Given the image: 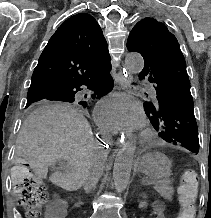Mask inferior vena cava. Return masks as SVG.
I'll list each match as a JSON object with an SVG mask.
<instances>
[{"label": "inferior vena cava", "mask_w": 211, "mask_h": 218, "mask_svg": "<svg viewBox=\"0 0 211 218\" xmlns=\"http://www.w3.org/2000/svg\"><path fill=\"white\" fill-rule=\"evenodd\" d=\"M100 154V158H105L106 154L104 152H98ZM97 166L95 170H92V172H89L88 176H85L83 182H81V186H83L86 194H89L93 188H95L101 174L102 170L100 168V164H102L101 160L100 162H96Z\"/></svg>", "instance_id": "1"}]
</instances>
